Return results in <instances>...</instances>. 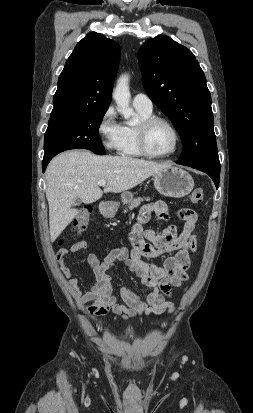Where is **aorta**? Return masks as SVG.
<instances>
[{"label": "aorta", "instance_id": "obj_1", "mask_svg": "<svg viewBox=\"0 0 253 413\" xmlns=\"http://www.w3.org/2000/svg\"><path fill=\"white\" fill-rule=\"evenodd\" d=\"M113 98L116 102L118 112L122 114L125 119L129 120V124H132L136 113L133 108L130 107L131 95L128 75H122L118 79L116 88L113 91Z\"/></svg>", "mask_w": 253, "mask_h": 413}]
</instances>
